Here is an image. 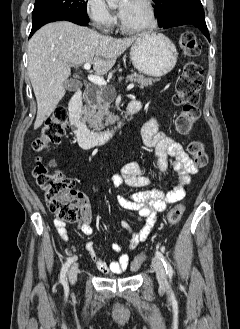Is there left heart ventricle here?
<instances>
[{"instance_id":"obj_1","label":"left heart ventricle","mask_w":240,"mask_h":329,"mask_svg":"<svg viewBox=\"0 0 240 329\" xmlns=\"http://www.w3.org/2000/svg\"><path fill=\"white\" fill-rule=\"evenodd\" d=\"M119 8L124 10L121 19L129 27H140L149 22L148 10L142 0H125Z\"/></svg>"}]
</instances>
